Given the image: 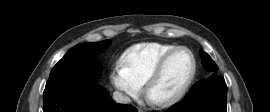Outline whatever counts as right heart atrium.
I'll list each match as a JSON object with an SVG mask.
<instances>
[{
  "mask_svg": "<svg viewBox=\"0 0 270 112\" xmlns=\"http://www.w3.org/2000/svg\"><path fill=\"white\" fill-rule=\"evenodd\" d=\"M110 80L125 100L137 98L142 91V86L132 78L121 63H117L113 66L110 73Z\"/></svg>",
  "mask_w": 270,
  "mask_h": 112,
  "instance_id": "1",
  "label": "right heart atrium"
}]
</instances>
